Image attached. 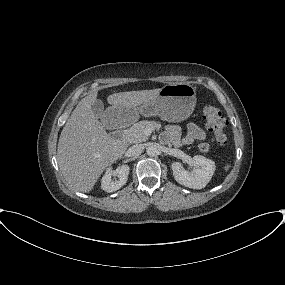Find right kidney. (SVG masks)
Returning <instances> with one entry per match:
<instances>
[{
  "instance_id": "obj_1",
  "label": "right kidney",
  "mask_w": 285,
  "mask_h": 285,
  "mask_svg": "<svg viewBox=\"0 0 285 285\" xmlns=\"http://www.w3.org/2000/svg\"><path fill=\"white\" fill-rule=\"evenodd\" d=\"M129 166L122 165L118 167L115 171H112L111 168H108L105 172V175L101 179V188L108 192H114L119 190L124 186L128 180ZM112 175L118 176V180L112 181Z\"/></svg>"
}]
</instances>
